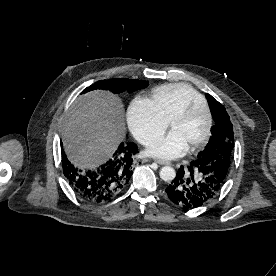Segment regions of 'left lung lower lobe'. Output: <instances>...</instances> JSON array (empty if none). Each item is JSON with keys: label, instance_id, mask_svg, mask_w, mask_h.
Wrapping results in <instances>:
<instances>
[{"label": "left lung lower lobe", "instance_id": "obj_1", "mask_svg": "<svg viewBox=\"0 0 276 276\" xmlns=\"http://www.w3.org/2000/svg\"><path fill=\"white\" fill-rule=\"evenodd\" d=\"M223 186L221 176L211 172L203 160L195 159L188 169L181 166L176 178L167 186L169 199L184 209H194L215 197Z\"/></svg>", "mask_w": 276, "mask_h": 276}]
</instances>
